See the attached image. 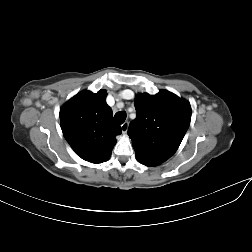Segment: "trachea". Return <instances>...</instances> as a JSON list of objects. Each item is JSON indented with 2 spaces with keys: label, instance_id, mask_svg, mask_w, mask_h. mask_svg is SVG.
I'll return each instance as SVG.
<instances>
[{
  "label": "trachea",
  "instance_id": "1",
  "mask_svg": "<svg viewBox=\"0 0 252 252\" xmlns=\"http://www.w3.org/2000/svg\"><path fill=\"white\" fill-rule=\"evenodd\" d=\"M126 119V113L124 111L117 112L114 116V121L117 124H123Z\"/></svg>",
  "mask_w": 252,
  "mask_h": 252
}]
</instances>
